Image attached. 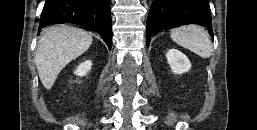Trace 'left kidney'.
Listing matches in <instances>:
<instances>
[{"instance_id":"left-kidney-1","label":"left kidney","mask_w":257,"mask_h":130,"mask_svg":"<svg viewBox=\"0 0 257 130\" xmlns=\"http://www.w3.org/2000/svg\"><path fill=\"white\" fill-rule=\"evenodd\" d=\"M167 62L175 74H182L190 70L191 63L187 56L176 49H170L166 53Z\"/></svg>"}]
</instances>
